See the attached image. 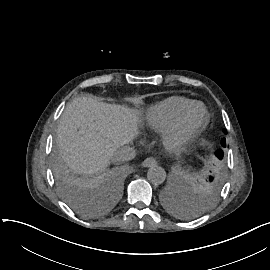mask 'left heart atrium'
Wrapping results in <instances>:
<instances>
[{"mask_svg": "<svg viewBox=\"0 0 270 270\" xmlns=\"http://www.w3.org/2000/svg\"><path fill=\"white\" fill-rule=\"evenodd\" d=\"M149 152L156 153V152H158V148L152 146V147L149 148Z\"/></svg>", "mask_w": 270, "mask_h": 270, "instance_id": "39dd6f15", "label": "left heart atrium"}]
</instances>
